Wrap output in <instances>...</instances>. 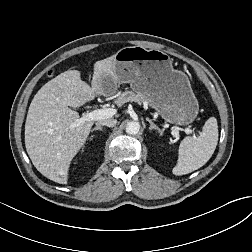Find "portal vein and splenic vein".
I'll return each instance as SVG.
<instances>
[{
  "label": "portal vein and splenic vein",
  "instance_id": "1",
  "mask_svg": "<svg viewBox=\"0 0 252 252\" xmlns=\"http://www.w3.org/2000/svg\"><path fill=\"white\" fill-rule=\"evenodd\" d=\"M116 112H117V110L113 109V108L96 109V110H93V111L87 113L86 115H84L80 119H78L76 125L79 126L80 124H82L86 121H98V120H104L107 118H111L112 116H114L116 114ZM184 131L187 134H195V132L189 128H186ZM196 132H199V131H196Z\"/></svg>",
  "mask_w": 252,
  "mask_h": 252
}]
</instances>
